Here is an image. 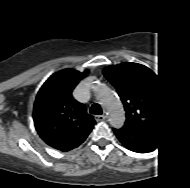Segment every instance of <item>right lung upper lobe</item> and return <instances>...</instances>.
Masks as SVG:
<instances>
[{"mask_svg":"<svg viewBox=\"0 0 190 188\" xmlns=\"http://www.w3.org/2000/svg\"><path fill=\"white\" fill-rule=\"evenodd\" d=\"M88 74L64 69L51 75L40 88L33 108L35 128L45 143L69 151L78 147L92 131L95 121L72 92Z\"/></svg>","mask_w":190,"mask_h":188,"instance_id":"1","label":"right lung upper lobe"}]
</instances>
